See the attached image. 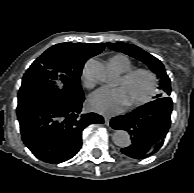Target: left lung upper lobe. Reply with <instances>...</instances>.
<instances>
[{"mask_svg":"<svg viewBox=\"0 0 194 193\" xmlns=\"http://www.w3.org/2000/svg\"><path fill=\"white\" fill-rule=\"evenodd\" d=\"M108 47L112 50L123 52L133 58H136L143 63L147 64L150 69L155 72L160 79L159 89L163 92L158 94V98L168 97L171 93V82L166 74L165 68L160 60L142 50L141 48L126 43H107Z\"/></svg>","mask_w":194,"mask_h":193,"instance_id":"5c2ea615","label":"left lung upper lobe"}]
</instances>
